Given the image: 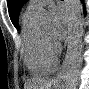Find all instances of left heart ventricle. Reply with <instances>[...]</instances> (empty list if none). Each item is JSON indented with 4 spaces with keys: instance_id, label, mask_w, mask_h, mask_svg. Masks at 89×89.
<instances>
[{
    "instance_id": "obj_1",
    "label": "left heart ventricle",
    "mask_w": 89,
    "mask_h": 89,
    "mask_svg": "<svg viewBox=\"0 0 89 89\" xmlns=\"http://www.w3.org/2000/svg\"><path fill=\"white\" fill-rule=\"evenodd\" d=\"M41 31H42L45 35H47V36L50 37V26H46V27L42 28Z\"/></svg>"
}]
</instances>
